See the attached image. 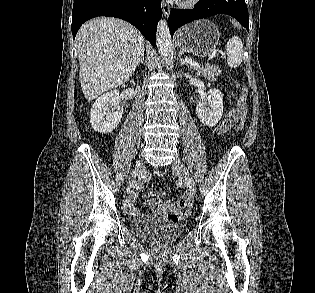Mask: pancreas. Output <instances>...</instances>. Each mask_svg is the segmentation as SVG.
<instances>
[{"instance_id":"1","label":"pancreas","mask_w":315,"mask_h":293,"mask_svg":"<svg viewBox=\"0 0 315 293\" xmlns=\"http://www.w3.org/2000/svg\"><path fill=\"white\" fill-rule=\"evenodd\" d=\"M192 69L197 71L198 75H202L210 81H215L217 77L221 74V70L218 66L215 65H206V66H191Z\"/></svg>"}]
</instances>
